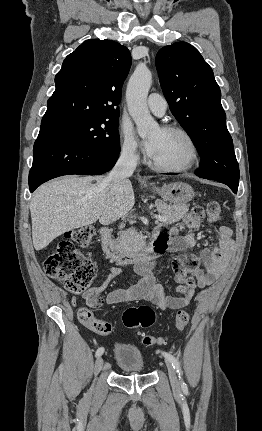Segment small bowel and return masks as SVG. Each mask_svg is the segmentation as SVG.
<instances>
[{"mask_svg":"<svg viewBox=\"0 0 262 431\" xmlns=\"http://www.w3.org/2000/svg\"><path fill=\"white\" fill-rule=\"evenodd\" d=\"M203 212L201 209H193L182 219V224L192 234L180 236L179 227L159 225L156 235L163 243L164 249L167 245L171 250L184 253L191 251L196 245L195 233L200 229ZM221 239L219 245L213 249L205 248L200 252L199 259L193 254H180L172 261L175 272L176 283H184L192 276L196 281V287L185 295L171 296L166 294L164 287L156 282L155 271L158 266L157 258H150L144 263L136 266V272L141 276L138 285L131 288H118L108 293L106 302L108 304H121L125 302L144 300L148 301L162 310L181 309L191 302L196 288H205L215 283L227 268L231 250L233 247L232 230L227 226L217 228ZM167 241L169 243L167 244ZM121 273V268L112 266L102 285L93 286L83 293L88 308H95L102 303V293L109 283ZM88 308H83L89 310ZM97 332L96 330L90 328ZM98 333V332H97Z\"/></svg>","mask_w":262,"mask_h":431,"instance_id":"c3829d8e","label":"small bowel"}]
</instances>
